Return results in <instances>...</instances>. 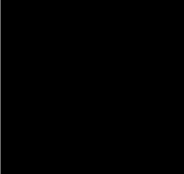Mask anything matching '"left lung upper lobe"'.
<instances>
[{"mask_svg": "<svg viewBox=\"0 0 184 174\" xmlns=\"http://www.w3.org/2000/svg\"><path fill=\"white\" fill-rule=\"evenodd\" d=\"M118 93L128 101V123L164 132L173 113L170 85L137 52L122 51L113 65Z\"/></svg>", "mask_w": 184, "mask_h": 174, "instance_id": "left-lung-upper-lobe-1", "label": "left lung upper lobe"}]
</instances>
